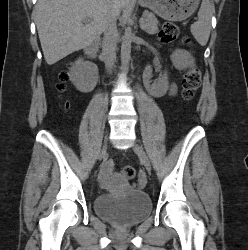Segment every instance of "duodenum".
Segmentation results:
<instances>
[{"instance_id": "obj_1", "label": "duodenum", "mask_w": 248, "mask_h": 250, "mask_svg": "<svg viewBox=\"0 0 248 250\" xmlns=\"http://www.w3.org/2000/svg\"><path fill=\"white\" fill-rule=\"evenodd\" d=\"M98 48L97 40H91L85 47V54L88 58H93L96 55Z\"/></svg>"}]
</instances>
